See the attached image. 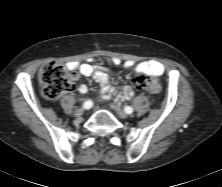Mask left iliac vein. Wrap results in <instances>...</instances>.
<instances>
[{
	"label": "left iliac vein",
	"instance_id": "left-iliac-vein-1",
	"mask_svg": "<svg viewBox=\"0 0 222 187\" xmlns=\"http://www.w3.org/2000/svg\"><path fill=\"white\" fill-rule=\"evenodd\" d=\"M111 106L117 112L120 118L126 119L128 117L127 113L121 110L117 105L112 104Z\"/></svg>",
	"mask_w": 222,
	"mask_h": 187
}]
</instances>
